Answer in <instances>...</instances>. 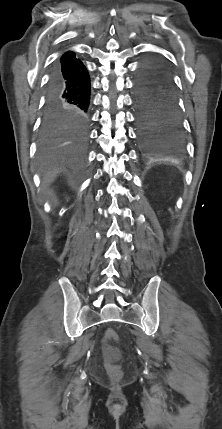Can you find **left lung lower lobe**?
I'll return each mask as SVG.
<instances>
[{"instance_id": "obj_1", "label": "left lung lower lobe", "mask_w": 222, "mask_h": 429, "mask_svg": "<svg viewBox=\"0 0 222 429\" xmlns=\"http://www.w3.org/2000/svg\"><path fill=\"white\" fill-rule=\"evenodd\" d=\"M139 143L145 156L178 151L184 142L178 95L169 67L158 58L144 59L134 82Z\"/></svg>"}]
</instances>
